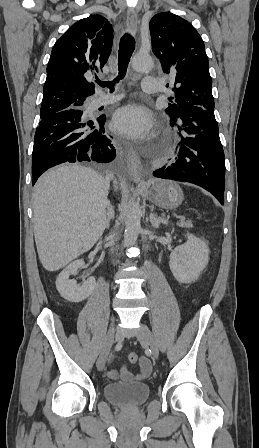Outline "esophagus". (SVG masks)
<instances>
[{
    "label": "esophagus",
    "mask_w": 259,
    "mask_h": 448,
    "mask_svg": "<svg viewBox=\"0 0 259 448\" xmlns=\"http://www.w3.org/2000/svg\"><path fill=\"white\" fill-rule=\"evenodd\" d=\"M127 27L133 34L137 31V15L134 9L127 10ZM143 170L140 156L133 148H129L127 152V171L134 182L138 183L141 180V173Z\"/></svg>",
    "instance_id": "obj_1"
}]
</instances>
